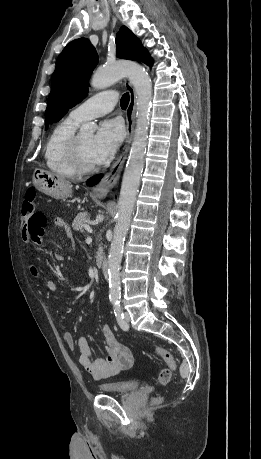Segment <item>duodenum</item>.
Returning <instances> with one entry per match:
<instances>
[{"label": "duodenum", "mask_w": 261, "mask_h": 459, "mask_svg": "<svg viewBox=\"0 0 261 459\" xmlns=\"http://www.w3.org/2000/svg\"><path fill=\"white\" fill-rule=\"evenodd\" d=\"M99 265H100V268L105 276V278L107 279L108 278V274H109V268H108V264L105 260H101L99 262Z\"/></svg>", "instance_id": "1"}]
</instances>
